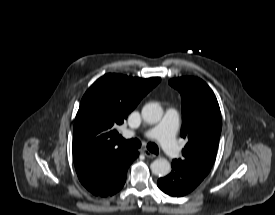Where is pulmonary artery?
<instances>
[{"label":"pulmonary artery","instance_id":"1","mask_svg":"<svg viewBox=\"0 0 275 215\" xmlns=\"http://www.w3.org/2000/svg\"><path fill=\"white\" fill-rule=\"evenodd\" d=\"M179 125L178 113L174 109H168L162 121L144 132L147 139H156L162 145L163 150L169 157H176L179 149L175 141V135ZM127 136H134L132 131H126Z\"/></svg>","mask_w":275,"mask_h":215}]
</instances>
